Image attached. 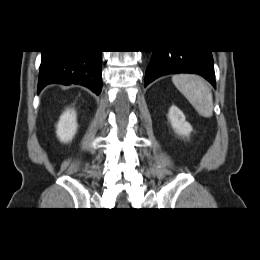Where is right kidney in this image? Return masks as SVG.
<instances>
[{
	"label": "right kidney",
	"mask_w": 260,
	"mask_h": 260,
	"mask_svg": "<svg viewBox=\"0 0 260 260\" xmlns=\"http://www.w3.org/2000/svg\"><path fill=\"white\" fill-rule=\"evenodd\" d=\"M57 137L61 142L67 143L72 141L77 131L76 112L74 110L67 109L59 119L57 123Z\"/></svg>",
	"instance_id": "1"
}]
</instances>
